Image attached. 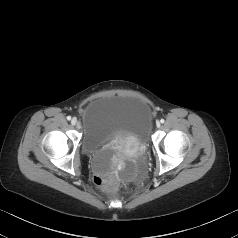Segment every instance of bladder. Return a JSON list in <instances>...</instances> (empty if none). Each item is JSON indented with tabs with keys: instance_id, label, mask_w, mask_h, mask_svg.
Returning <instances> with one entry per match:
<instances>
[{
	"instance_id": "bladder-1",
	"label": "bladder",
	"mask_w": 238,
	"mask_h": 238,
	"mask_svg": "<svg viewBox=\"0 0 238 238\" xmlns=\"http://www.w3.org/2000/svg\"><path fill=\"white\" fill-rule=\"evenodd\" d=\"M152 110L142 98L108 94L88 101L81 112L82 149L98 174L114 171L110 146L134 140L144 145L151 130Z\"/></svg>"
}]
</instances>
